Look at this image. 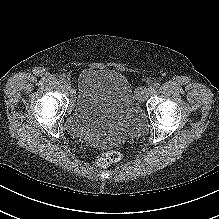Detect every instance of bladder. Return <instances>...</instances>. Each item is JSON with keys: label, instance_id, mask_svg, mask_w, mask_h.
<instances>
[{"label": "bladder", "instance_id": "obj_1", "mask_svg": "<svg viewBox=\"0 0 219 219\" xmlns=\"http://www.w3.org/2000/svg\"><path fill=\"white\" fill-rule=\"evenodd\" d=\"M73 109L65 118L69 133L98 137L114 144L146 130L144 111L133 88L122 74L105 69H86L78 77Z\"/></svg>", "mask_w": 219, "mask_h": 219}]
</instances>
